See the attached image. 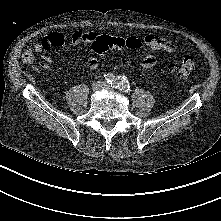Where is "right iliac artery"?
<instances>
[{
  "instance_id": "right-iliac-artery-1",
  "label": "right iliac artery",
  "mask_w": 221,
  "mask_h": 221,
  "mask_svg": "<svg viewBox=\"0 0 221 221\" xmlns=\"http://www.w3.org/2000/svg\"><path fill=\"white\" fill-rule=\"evenodd\" d=\"M104 78L111 85H113L115 83V76L112 73L105 74Z\"/></svg>"
}]
</instances>
